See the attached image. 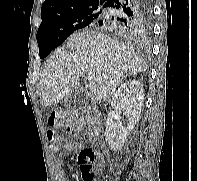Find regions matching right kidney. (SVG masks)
<instances>
[{"label":"right kidney","mask_w":197,"mask_h":181,"mask_svg":"<svg viewBox=\"0 0 197 181\" xmlns=\"http://www.w3.org/2000/svg\"><path fill=\"white\" fill-rule=\"evenodd\" d=\"M143 100V85L137 80L125 82L112 97L111 107L118 113L123 111L129 121L127 127H123L118 121L107 119L105 136L112 150L118 151L123 147L130 131L140 119Z\"/></svg>","instance_id":"obj_1"}]
</instances>
